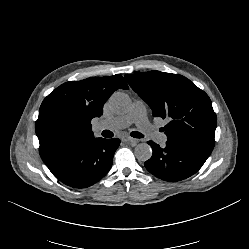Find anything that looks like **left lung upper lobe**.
Listing matches in <instances>:
<instances>
[{
	"instance_id": "1",
	"label": "left lung upper lobe",
	"mask_w": 249,
	"mask_h": 249,
	"mask_svg": "<svg viewBox=\"0 0 249 249\" xmlns=\"http://www.w3.org/2000/svg\"><path fill=\"white\" fill-rule=\"evenodd\" d=\"M125 78L154 117L169 119L161 128L168 140L214 148L216 114L208 95L192 81L160 71L126 74Z\"/></svg>"
}]
</instances>
